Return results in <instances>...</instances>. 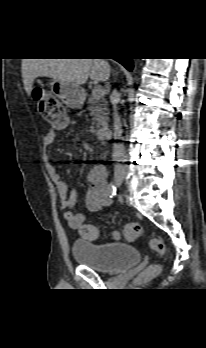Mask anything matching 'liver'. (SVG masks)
Returning a JSON list of instances; mask_svg holds the SVG:
<instances>
[{"instance_id": "6515ba94", "label": "liver", "mask_w": 206, "mask_h": 348, "mask_svg": "<svg viewBox=\"0 0 206 348\" xmlns=\"http://www.w3.org/2000/svg\"><path fill=\"white\" fill-rule=\"evenodd\" d=\"M110 65L104 59H23L22 78L28 96L37 77H49L73 85H83L90 77L95 82L106 81Z\"/></svg>"}]
</instances>
